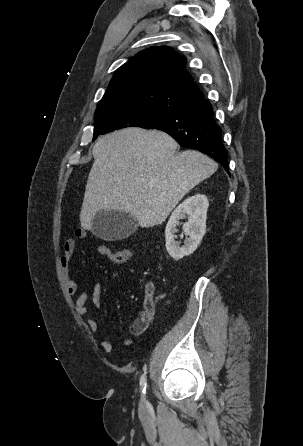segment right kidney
Wrapping results in <instances>:
<instances>
[{"label":"right kidney","instance_id":"obj_1","mask_svg":"<svg viewBox=\"0 0 303 446\" xmlns=\"http://www.w3.org/2000/svg\"><path fill=\"white\" fill-rule=\"evenodd\" d=\"M208 198L203 194H196L184 200L172 212L165 229L166 250L174 260L192 254L200 244L206 232ZM188 218L183 224V231L187 236L184 246L180 247L175 240L176 226L180 219Z\"/></svg>","mask_w":303,"mask_h":446}]
</instances>
